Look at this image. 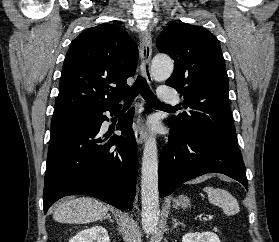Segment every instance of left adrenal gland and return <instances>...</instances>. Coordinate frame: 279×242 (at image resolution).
I'll use <instances>...</instances> for the list:
<instances>
[{
    "label": "left adrenal gland",
    "instance_id": "1",
    "mask_svg": "<svg viewBox=\"0 0 279 242\" xmlns=\"http://www.w3.org/2000/svg\"><path fill=\"white\" fill-rule=\"evenodd\" d=\"M172 220L174 221L173 228H176L178 225H181L182 227H185V225L181 222H178L176 218L173 217Z\"/></svg>",
    "mask_w": 279,
    "mask_h": 242
}]
</instances>
